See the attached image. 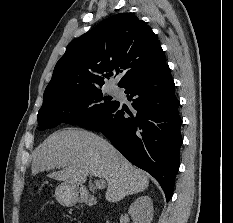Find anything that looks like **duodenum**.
<instances>
[{
  "mask_svg": "<svg viewBox=\"0 0 233 223\" xmlns=\"http://www.w3.org/2000/svg\"><path fill=\"white\" fill-rule=\"evenodd\" d=\"M77 200L80 203L87 204L88 206H95L97 204L96 198L91 195L86 189H80L77 192Z\"/></svg>",
  "mask_w": 233,
  "mask_h": 223,
  "instance_id": "duodenum-1",
  "label": "duodenum"
}]
</instances>
